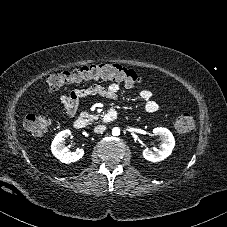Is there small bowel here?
Listing matches in <instances>:
<instances>
[{"label": "small bowel", "instance_id": "c3829d8e", "mask_svg": "<svg viewBox=\"0 0 227 227\" xmlns=\"http://www.w3.org/2000/svg\"><path fill=\"white\" fill-rule=\"evenodd\" d=\"M119 91L120 85L116 82L111 83L107 87L92 85L88 88L75 89L69 93L62 94L59 98V102L65 112L69 116H73L81 98L97 95L108 99H114L116 98ZM140 98L145 104L146 112L150 114L157 112L159 106L157 102L153 100V95L150 90L143 89L140 92Z\"/></svg>", "mask_w": 227, "mask_h": 227}]
</instances>
